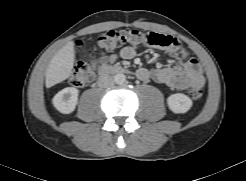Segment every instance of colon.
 Returning a JSON list of instances; mask_svg holds the SVG:
<instances>
[{
    "label": "colon",
    "instance_id": "obj_1",
    "mask_svg": "<svg viewBox=\"0 0 246 181\" xmlns=\"http://www.w3.org/2000/svg\"><path fill=\"white\" fill-rule=\"evenodd\" d=\"M178 44L179 41L170 35L154 32L144 33L137 29L109 30L97 39L98 47L109 51L128 45L172 48ZM94 69L95 66L91 62L81 61L77 63L70 79L71 84L75 87L85 86L93 79ZM203 94V89L200 87H193L189 90V95L194 100L202 98Z\"/></svg>",
    "mask_w": 246,
    "mask_h": 181
}]
</instances>
